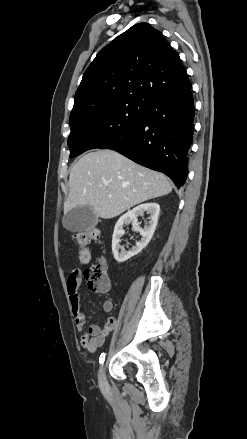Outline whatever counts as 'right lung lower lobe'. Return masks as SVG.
Returning <instances> with one entry per match:
<instances>
[{"label": "right lung lower lobe", "mask_w": 247, "mask_h": 439, "mask_svg": "<svg viewBox=\"0 0 247 439\" xmlns=\"http://www.w3.org/2000/svg\"><path fill=\"white\" fill-rule=\"evenodd\" d=\"M191 87L165 95L148 105L142 120L109 145L132 161L163 172L176 186L186 180L188 153L194 133Z\"/></svg>", "instance_id": "1"}]
</instances>
